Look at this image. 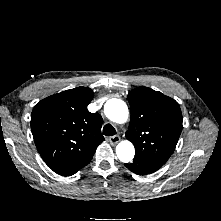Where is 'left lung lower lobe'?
Instances as JSON below:
<instances>
[{
    "mask_svg": "<svg viewBox=\"0 0 221 221\" xmlns=\"http://www.w3.org/2000/svg\"><path fill=\"white\" fill-rule=\"evenodd\" d=\"M163 164L134 158L132 163H126L125 166L135 174L147 175L161 168Z\"/></svg>",
    "mask_w": 221,
    "mask_h": 221,
    "instance_id": "1",
    "label": "left lung lower lobe"
}]
</instances>
